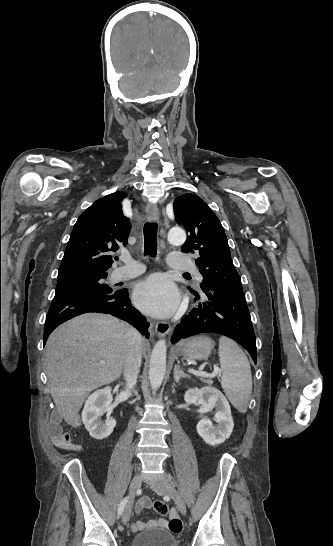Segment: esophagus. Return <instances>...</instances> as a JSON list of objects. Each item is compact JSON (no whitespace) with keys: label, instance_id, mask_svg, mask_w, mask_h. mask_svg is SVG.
I'll return each mask as SVG.
<instances>
[{"label":"esophagus","instance_id":"1","mask_svg":"<svg viewBox=\"0 0 333 546\" xmlns=\"http://www.w3.org/2000/svg\"><path fill=\"white\" fill-rule=\"evenodd\" d=\"M146 214L149 221L156 222L159 218V210L155 204L149 203L146 207ZM171 326L169 322L160 321L155 325V332L158 336H164L169 333Z\"/></svg>","mask_w":333,"mask_h":546}]
</instances>
